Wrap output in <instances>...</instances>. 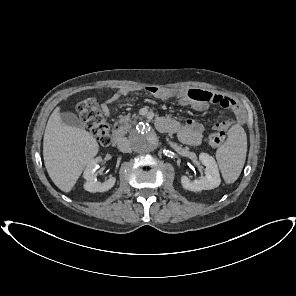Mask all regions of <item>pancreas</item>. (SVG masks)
Returning <instances> with one entry per match:
<instances>
[{"label": "pancreas", "mask_w": 296, "mask_h": 296, "mask_svg": "<svg viewBox=\"0 0 296 296\" xmlns=\"http://www.w3.org/2000/svg\"><path fill=\"white\" fill-rule=\"evenodd\" d=\"M116 124L120 125L119 132H121L122 134H126L131 130L133 121L130 115H126L121 116L119 120L116 122Z\"/></svg>", "instance_id": "1"}]
</instances>
